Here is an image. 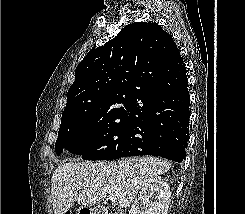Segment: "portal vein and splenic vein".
<instances>
[{"label":"portal vein and splenic vein","mask_w":245,"mask_h":214,"mask_svg":"<svg viewBox=\"0 0 245 214\" xmlns=\"http://www.w3.org/2000/svg\"><path fill=\"white\" fill-rule=\"evenodd\" d=\"M76 187H80V184H75ZM110 201H116L118 199V195L112 194L108 196Z\"/></svg>","instance_id":"18ae733b"}]
</instances>
